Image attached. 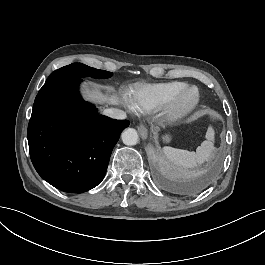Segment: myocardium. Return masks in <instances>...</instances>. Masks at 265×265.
I'll return each instance as SVG.
<instances>
[{
  "label": "myocardium",
  "instance_id": "1",
  "mask_svg": "<svg viewBox=\"0 0 265 265\" xmlns=\"http://www.w3.org/2000/svg\"><path fill=\"white\" fill-rule=\"evenodd\" d=\"M190 91H193L194 95L190 100H187L186 96ZM202 99L203 94L198 85L185 83L172 100L164 106L162 111L163 120L167 123L182 121L200 106Z\"/></svg>",
  "mask_w": 265,
  "mask_h": 265
}]
</instances>
